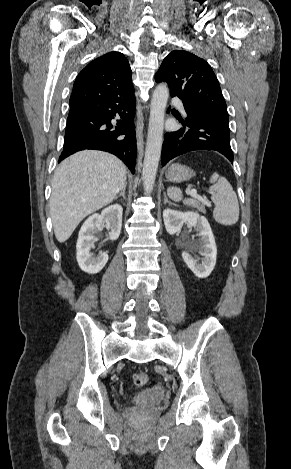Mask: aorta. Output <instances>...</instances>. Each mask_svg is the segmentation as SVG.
Listing matches in <instances>:
<instances>
[{"label": "aorta", "instance_id": "aorta-1", "mask_svg": "<svg viewBox=\"0 0 291 469\" xmlns=\"http://www.w3.org/2000/svg\"><path fill=\"white\" fill-rule=\"evenodd\" d=\"M169 97L166 84H159L152 96L150 106L149 127L143 162L142 181L145 193L153 190L158 164L161 156L164 115Z\"/></svg>", "mask_w": 291, "mask_h": 469}]
</instances>
